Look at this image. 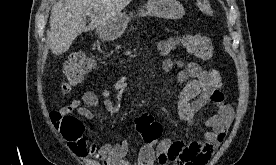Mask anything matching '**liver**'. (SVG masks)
I'll use <instances>...</instances> for the list:
<instances>
[{"mask_svg":"<svg viewBox=\"0 0 276 165\" xmlns=\"http://www.w3.org/2000/svg\"><path fill=\"white\" fill-rule=\"evenodd\" d=\"M132 0H63L57 1L51 11L50 31L47 34L53 54L69 50L82 32L105 25L115 18ZM90 24L86 26V17Z\"/></svg>","mask_w":276,"mask_h":165,"instance_id":"1","label":"liver"}]
</instances>
